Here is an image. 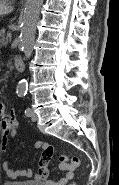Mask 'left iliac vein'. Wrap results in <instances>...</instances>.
Wrapping results in <instances>:
<instances>
[{
    "mask_svg": "<svg viewBox=\"0 0 119 185\" xmlns=\"http://www.w3.org/2000/svg\"><path fill=\"white\" fill-rule=\"evenodd\" d=\"M30 118L32 121H37V115L33 110H30Z\"/></svg>",
    "mask_w": 119,
    "mask_h": 185,
    "instance_id": "obj_1",
    "label": "left iliac vein"
}]
</instances>
